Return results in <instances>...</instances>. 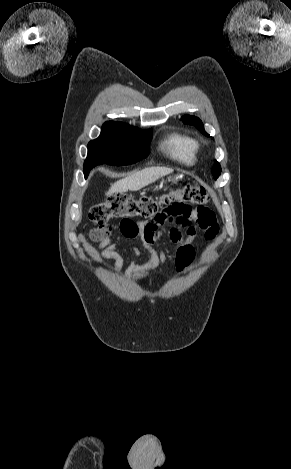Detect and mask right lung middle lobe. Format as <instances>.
Returning <instances> with one entry per match:
<instances>
[{"label": "right lung middle lobe", "instance_id": "right-lung-middle-lobe-1", "mask_svg": "<svg viewBox=\"0 0 291 469\" xmlns=\"http://www.w3.org/2000/svg\"><path fill=\"white\" fill-rule=\"evenodd\" d=\"M151 130L108 121L103 124L100 136L88 143V156L84 162V175L99 164L128 165L136 163L149 154Z\"/></svg>", "mask_w": 291, "mask_h": 469}]
</instances>
